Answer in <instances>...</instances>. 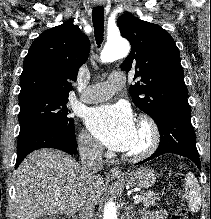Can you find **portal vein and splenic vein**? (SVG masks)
<instances>
[{"label": "portal vein and splenic vein", "mask_w": 211, "mask_h": 219, "mask_svg": "<svg viewBox=\"0 0 211 219\" xmlns=\"http://www.w3.org/2000/svg\"><path fill=\"white\" fill-rule=\"evenodd\" d=\"M144 197V195H138V196H134L133 200H134V204H138L141 199Z\"/></svg>", "instance_id": "obj_1"}]
</instances>
